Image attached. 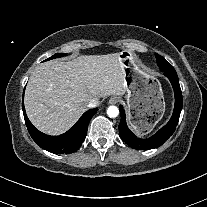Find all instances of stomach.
Returning a JSON list of instances; mask_svg holds the SVG:
<instances>
[{
  "instance_id": "0dacf381",
  "label": "stomach",
  "mask_w": 207,
  "mask_h": 207,
  "mask_svg": "<svg viewBox=\"0 0 207 207\" xmlns=\"http://www.w3.org/2000/svg\"><path fill=\"white\" fill-rule=\"evenodd\" d=\"M119 58L125 71L126 107L134 129L139 133L153 130L165 111L163 91L159 82L134 67L130 51L123 50Z\"/></svg>"
}]
</instances>
